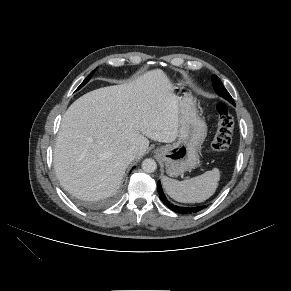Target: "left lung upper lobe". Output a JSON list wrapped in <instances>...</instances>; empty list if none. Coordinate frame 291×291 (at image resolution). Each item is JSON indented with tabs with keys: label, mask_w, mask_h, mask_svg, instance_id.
Segmentation results:
<instances>
[{
	"label": "left lung upper lobe",
	"mask_w": 291,
	"mask_h": 291,
	"mask_svg": "<svg viewBox=\"0 0 291 291\" xmlns=\"http://www.w3.org/2000/svg\"><path fill=\"white\" fill-rule=\"evenodd\" d=\"M212 81H213V86H214V89L216 90V92L219 95H221L222 97H224L226 100H228L230 103L235 105L233 98L228 93V91L225 89L222 82L220 81V79L216 75L212 76Z\"/></svg>",
	"instance_id": "1"
}]
</instances>
